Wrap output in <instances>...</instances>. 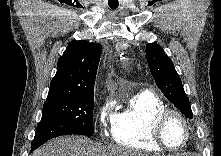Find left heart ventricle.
Returning a JSON list of instances; mask_svg holds the SVG:
<instances>
[{
    "label": "left heart ventricle",
    "mask_w": 221,
    "mask_h": 156,
    "mask_svg": "<svg viewBox=\"0 0 221 156\" xmlns=\"http://www.w3.org/2000/svg\"><path fill=\"white\" fill-rule=\"evenodd\" d=\"M186 131L183 122L176 116H171L163 129V137L167 145L176 148L185 140Z\"/></svg>",
    "instance_id": "left-heart-ventricle-1"
}]
</instances>
